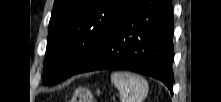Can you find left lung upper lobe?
<instances>
[{
  "mask_svg": "<svg viewBox=\"0 0 221 102\" xmlns=\"http://www.w3.org/2000/svg\"><path fill=\"white\" fill-rule=\"evenodd\" d=\"M130 0H55L43 84L71 77L96 50Z\"/></svg>",
  "mask_w": 221,
  "mask_h": 102,
  "instance_id": "left-lung-upper-lobe-1",
  "label": "left lung upper lobe"
}]
</instances>
